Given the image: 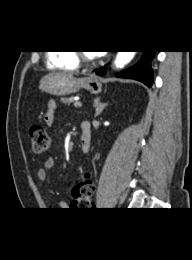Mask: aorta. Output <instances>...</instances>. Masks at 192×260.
I'll list each match as a JSON object with an SVG mask.
<instances>
[{"mask_svg": "<svg viewBox=\"0 0 192 260\" xmlns=\"http://www.w3.org/2000/svg\"><path fill=\"white\" fill-rule=\"evenodd\" d=\"M135 51H118L114 64L117 68H122L128 64L135 56Z\"/></svg>", "mask_w": 192, "mask_h": 260, "instance_id": "762f6f07", "label": "aorta"}]
</instances>
